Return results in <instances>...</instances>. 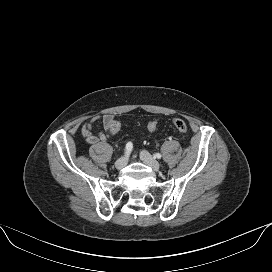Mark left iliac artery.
Wrapping results in <instances>:
<instances>
[{"mask_svg":"<svg viewBox=\"0 0 272 272\" xmlns=\"http://www.w3.org/2000/svg\"><path fill=\"white\" fill-rule=\"evenodd\" d=\"M154 156H155V158H157V159H161V157H162L160 153H156Z\"/></svg>","mask_w":272,"mask_h":272,"instance_id":"obj_1","label":"left iliac artery"}]
</instances>
